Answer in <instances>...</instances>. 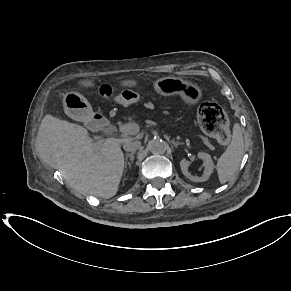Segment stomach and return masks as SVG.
Segmentation results:
<instances>
[{
    "label": "stomach",
    "mask_w": 291,
    "mask_h": 291,
    "mask_svg": "<svg viewBox=\"0 0 291 291\" xmlns=\"http://www.w3.org/2000/svg\"><path fill=\"white\" fill-rule=\"evenodd\" d=\"M86 86H93L92 80L84 81ZM124 86H134L136 81L133 79L122 80ZM155 91L163 96L180 95L185 103L194 105L202 97L201 89L189 81L180 77H164L154 83ZM63 106L67 115L75 119H84L91 113L90 104L80 94L68 92L63 96Z\"/></svg>",
    "instance_id": "0dacf381"
}]
</instances>
